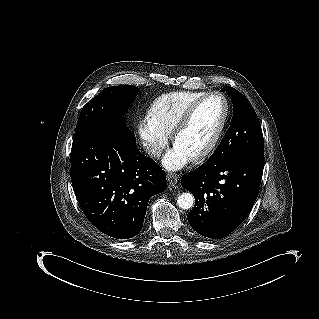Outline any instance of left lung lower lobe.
<instances>
[{"mask_svg": "<svg viewBox=\"0 0 319 319\" xmlns=\"http://www.w3.org/2000/svg\"><path fill=\"white\" fill-rule=\"evenodd\" d=\"M264 149L234 155L219 163L205 162L183 175L181 185L196 200L188 221L198 236H228L249 214L259 192Z\"/></svg>", "mask_w": 319, "mask_h": 319, "instance_id": "obj_1", "label": "left lung lower lobe"}]
</instances>
